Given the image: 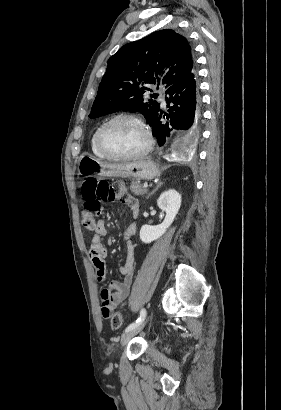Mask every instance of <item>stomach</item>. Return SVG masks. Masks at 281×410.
I'll list each match as a JSON object with an SVG mask.
<instances>
[{"mask_svg": "<svg viewBox=\"0 0 281 410\" xmlns=\"http://www.w3.org/2000/svg\"><path fill=\"white\" fill-rule=\"evenodd\" d=\"M78 174L149 180L159 176L160 171L158 166L150 160L110 164L90 155H82L78 161Z\"/></svg>", "mask_w": 281, "mask_h": 410, "instance_id": "obj_1", "label": "stomach"}]
</instances>
